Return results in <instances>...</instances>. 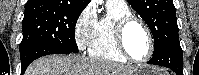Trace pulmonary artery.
Segmentation results:
<instances>
[{
	"label": "pulmonary artery",
	"mask_w": 199,
	"mask_h": 75,
	"mask_svg": "<svg viewBox=\"0 0 199 75\" xmlns=\"http://www.w3.org/2000/svg\"><path fill=\"white\" fill-rule=\"evenodd\" d=\"M108 6L114 7H128L126 1L109 0L107 1Z\"/></svg>",
	"instance_id": "e3ab8cb5"
}]
</instances>
